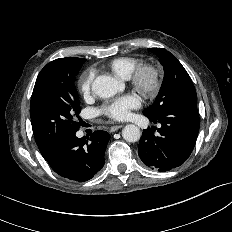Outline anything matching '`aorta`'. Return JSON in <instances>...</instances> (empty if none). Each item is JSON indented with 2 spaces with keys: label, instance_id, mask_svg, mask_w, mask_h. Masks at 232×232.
I'll return each mask as SVG.
<instances>
[{
  "label": "aorta",
  "instance_id": "obj_1",
  "mask_svg": "<svg viewBox=\"0 0 232 232\" xmlns=\"http://www.w3.org/2000/svg\"><path fill=\"white\" fill-rule=\"evenodd\" d=\"M123 88L121 82L107 75L98 76L92 83V91L101 98L112 97ZM122 136L127 142H136L141 137V131L138 126L128 124L123 128Z\"/></svg>",
  "mask_w": 232,
  "mask_h": 232
}]
</instances>
